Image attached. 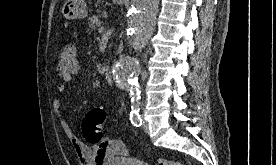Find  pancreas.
<instances>
[{
    "instance_id": "1",
    "label": "pancreas",
    "mask_w": 276,
    "mask_h": 165,
    "mask_svg": "<svg viewBox=\"0 0 276 165\" xmlns=\"http://www.w3.org/2000/svg\"><path fill=\"white\" fill-rule=\"evenodd\" d=\"M101 25H103V21L100 20V16L93 15L92 17L89 18V27L91 29H96Z\"/></svg>"
}]
</instances>
